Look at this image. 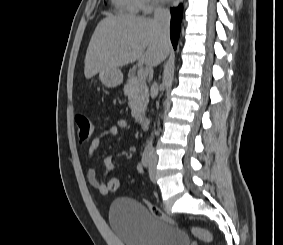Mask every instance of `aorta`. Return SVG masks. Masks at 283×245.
<instances>
[{
    "instance_id": "aorta-1",
    "label": "aorta",
    "mask_w": 283,
    "mask_h": 245,
    "mask_svg": "<svg viewBox=\"0 0 283 245\" xmlns=\"http://www.w3.org/2000/svg\"><path fill=\"white\" fill-rule=\"evenodd\" d=\"M152 136H153V134H152ZM151 146H152V138H150V140L147 143V147L148 148H150Z\"/></svg>"
}]
</instances>
